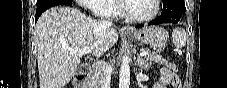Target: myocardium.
Returning <instances> with one entry per match:
<instances>
[{
	"label": "myocardium",
	"instance_id": "myocardium-1",
	"mask_svg": "<svg viewBox=\"0 0 227 88\" xmlns=\"http://www.w3.org/2000/svg\"><path fill=\"white\" fill-rule=\"evenodd\" d=\"M127 1H131V0H118V12L122 17H124L125 19H127L129 21L138 22V23L149 22L152 19H154L157 16V14L159 13L160 0H153L154 1V11L152 12V14H150L148 16H144V17H138V16H133V15L128 14L125 10V3Z\"/></svg>",
	"mask_w": 227,
	"mask_h": 88
}]
</instances>
